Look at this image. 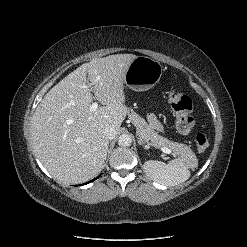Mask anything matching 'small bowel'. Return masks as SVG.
Here are the masks:
<instances>
[{
  "label": "small bowel",
  "mask_w": 247,
  "mask_h": 247,
  "mask_svg": "<svg viewBox=\"0 0 247 247\" xmlns=\"http://www.w3.org/2000/svg\"><path fill=\"white\" fill-rule=\"evenodd\" d=\"M149 122L151 123V125L153 127L157 128V129H161V127H162L161 124H160V122L158 121V119L154 115H151L149 117Z\"/></svg>",
  "instance_id": "small-bowel-1"
}]
</instances>
